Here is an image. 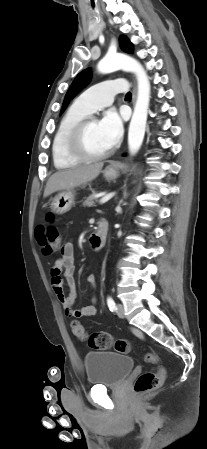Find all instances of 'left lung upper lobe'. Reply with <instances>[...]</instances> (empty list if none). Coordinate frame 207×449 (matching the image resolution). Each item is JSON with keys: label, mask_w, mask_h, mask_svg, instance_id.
Returning a JSON list of instances; mask_svg holds the SVG:
<instances>
[{"label": "left lung upper lobe", "mask_w": 207, "mask_h": 449, "mask_svg": "<svg viewBox=\"0 0 207 449\" xmlns=\"http://www.w3.org/2000/svg\"><path fill=\"white\" fill-rule=\"evenodd\" d=\"M121 49L127 53L133 52L132 43L125 36H121L119 39ZM91 78L90 69H85L80 72L74 81L72 82L63 102L61 112L65 110L70 100L79 92L81 89L87 85Z\"/></svg>", "instance_id": "obj_1"}]
</instances>
